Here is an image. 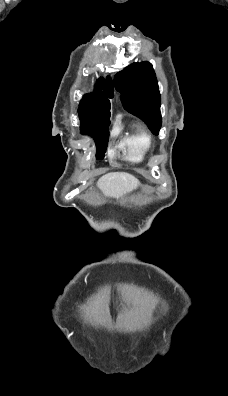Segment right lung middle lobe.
I'll return each instance as SVG.
<instances>
[{"mask_svg":"<svg viewBox=\"0 0 228 396\" xmlns=\"http://www.w3.org/2000/svg\"><path fill=\"white\" fill-rule=\"evenodd\" d=\"M110 113L92 119H81L83 133L94 137L97 146V159H103L108 144Z\"/></svg>","mask_w":228,"mask_h":396,"instance_id":"1","label":"right lung middle lobe"}]
</instances>
